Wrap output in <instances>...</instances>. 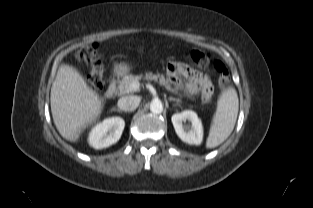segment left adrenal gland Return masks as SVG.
<instances>
[{"instance_id": "left-adrenal-gland-1", "label": "left adrenal gland", "mask_w": 313, "mask_h": 208, "mask_svg": "<svg viewBox=\"0 0 313 208\" xmlns=\"http://www.w3.org/2000/svg\"><path fill=\"white\" fill-rule=\"evenodd\" d=\"M169 101H176V102H180L179 99L173 98V97H169Z\"/></svg>"}]
</instances>
